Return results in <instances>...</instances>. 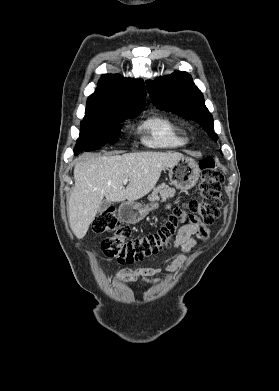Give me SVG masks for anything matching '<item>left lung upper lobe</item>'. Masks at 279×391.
<instances>
[{
	"mask_svg": "<svg viewBox=\"0 0 279 391\" xmlns=\"http://www.w3.org/2000/svg\"><path fill=\"white\" fill-rule=\"evenodd\" d=\"M147 90L153 104L159 109L172 111L198 122L209 136L217 141L212 115L204 104L203 94L194 85L188 73L175 71L170 75L156 78L148 82Z\"/></svg>",
	"mask_w": 279,
	"mask_h": 391,
	"instance_id": "5c2ea615",
	"label": "left lung upper lobe"
}]
</instances>
